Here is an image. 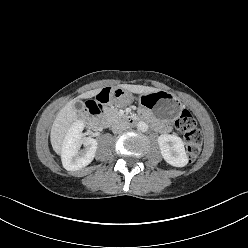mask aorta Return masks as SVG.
Returning <instances> with one entry per match:
<instances>
[{
  "instance_id": "1",
  "label": "aorta",
  "mask_w": 248,
  "mask_h": 248,
  "mask_svg": "<svg viewBox=\"0 0 248 248\" xmlns=\"http://www.w3.org/2000/svg\"><path fill=\"white\" fill-rule=\"evenodd\" d=\"M137 129L142 131V132H145L148 130V125L147 123L143 122V121H140L138 124H137Z\"/></svg>"
}]
</instances>
